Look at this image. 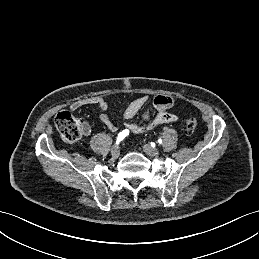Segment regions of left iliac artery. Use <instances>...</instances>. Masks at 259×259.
<instances>
[{
	"instance_id": "44dca946",
	"label": "left iliac artery",
	"mask_w": 259,
	"mask_h": 259,
	"mask_svg": "<svg viewBox=\"0 0 259 259\" xmlns=\"http://www.w3.org/2000/svg\"><path fill=\"white\" fill-rule=\"evenodd\" d=\"M158 143L161 144V143H162V140H161V139H158Z\"/></svg>"
}]
</instances>
